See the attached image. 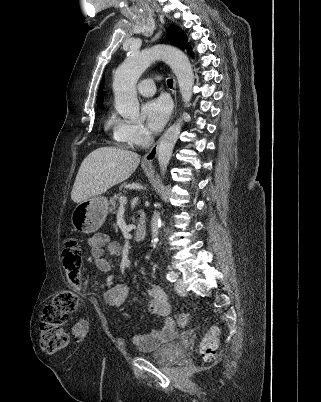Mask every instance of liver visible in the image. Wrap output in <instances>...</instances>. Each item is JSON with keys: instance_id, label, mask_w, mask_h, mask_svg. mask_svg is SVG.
Returning <instances> with one entry per match:
<instances>
[{"instance_id": "liver-1", "label": "liver", "mask_w": 321, "mask_h": 402, "mask_svg": "<svg viewBox=\"0 0 321 402\" xmlns=\"http://www.w3.org/2000/svg\"><path fill=\"white\" fill-rule=\"evenodd\" d=\"M140 163V156L126 149L100 147L82 162L77 173L71 199L80 203L105 193L112 186L128 179Z\"/></svg>"}]
</instances>
